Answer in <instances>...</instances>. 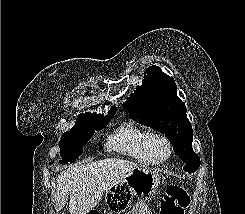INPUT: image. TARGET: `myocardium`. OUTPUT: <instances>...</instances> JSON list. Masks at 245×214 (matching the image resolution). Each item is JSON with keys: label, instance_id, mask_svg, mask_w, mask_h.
Masks as SVG:
<instances>
[{"label": "myocardium", "instance_id": "1", "mask_svg": "<svg viewBox=\"0 0 245 214\" xmlns=\"http://www.w3.org/2000/svg\"><path fill=\"white\" fill-rule=\"evenodd\" d=\"M153 138H159L166 144L167 149H168V153H167V156L165 158L160 159V160H154L150 157L149 152H148V147H149V143H150L151 139H153ZM142 149H143V153H144L147 161L153 165H158V164H162V163L166 162L171 157L172 152H173V147H172L171 141L169 140V138L166 135H164L163 133H160V132H149L143 139Z\"/></svg>", "mask_w": 245, "mask_h": 214}]
</instances>
